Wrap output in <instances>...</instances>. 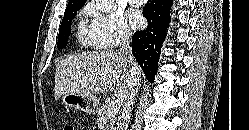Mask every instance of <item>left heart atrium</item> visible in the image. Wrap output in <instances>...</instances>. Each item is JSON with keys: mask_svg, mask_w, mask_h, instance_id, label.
I'll use <instances>...</instances> for the list:
<instances>
[{"mask_svg": "<svg viewBox=\"0 0 249 130\" xmlns=\"http://www.w3.org/2000/svg\"><path fill=\"white\" fill-rule=\"evenodd\" d=\"M131 21H132V24L135 26V27H139L142 25L143 23V18L140 14L138 13H134L132 14L131 16Z\"/></svg>", "mask_w": 249, "mask_h": 130, "instance_id": "1", "label": "left heart atrium"}]
</instances>
